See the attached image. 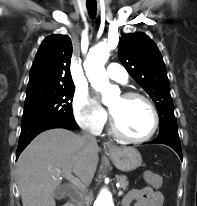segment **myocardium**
I'll return each mask as SVG.
<instances>
[{"instance_id": "myocardium-1", "label": "myocardium", "mask_w": 197, "mask_h": 206, "mask_svg": "<svg viewBox=\"0 0 197 206\" xmlns=\"http://www.w3.org/2000/svg\"><path fill=\"white\" fill-rule=\"evenodd\" d=\"M122 98L124 99H140L143 100L150 108L152 115H153V126L150 130V132L143 136V137H133L121 130V128L118 126L115 117L113 116L112 112L110 111V127L112 132L119 138L131 141V142H145L150 140L156 133L159 124H160V118H159V113L157 111V108L153 101L147 97L146 95L135 92V91H127L121 95Z\"/></svg>"}]
</instances>
